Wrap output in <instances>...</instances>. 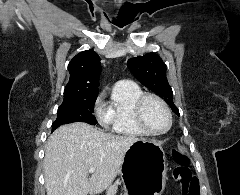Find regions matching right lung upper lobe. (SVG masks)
Wrapping results in <instances>:
<instances>
[{
  "instance_id": "1",
  "label": "right lung upper lobe",
  "mask_w": 240,
  "mask_h": 195,
  "mask_svg": "<svg viewBox=\"0 0 240 195\" xmlns=\"http://www.w3.org/2000/svg\"><path fill=\"white\" fill-rule=\"evenodd\" d=\"M68 69L70 79L64 90V99L98 96L101 64L96 52H80L72 58Z\"/></svg>"
}]
</instances>
